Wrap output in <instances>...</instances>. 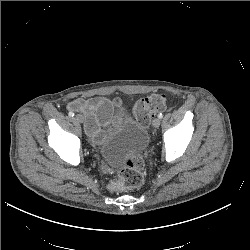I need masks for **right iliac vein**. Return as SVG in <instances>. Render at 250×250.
Instances as JSON below:
<instances>
[{
  "mask_svg": "<svg viewBox=\"0 0 250 250\" xmlns=\"http://www.w3.org/2000/svg\"><path fill=\"white\" fill-rule=\"evenodd\" d=\"M74 119L79 122V123H83L84 122V118L81 114H78L74 117Z\"/></svg>",
  "mask_w": 250,
  "mask_h": 250,
  "instance_id": "obj_1",
  "label": "right iliac vein"
}]
</instances>
